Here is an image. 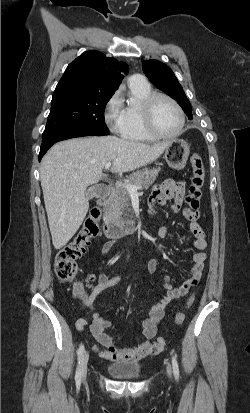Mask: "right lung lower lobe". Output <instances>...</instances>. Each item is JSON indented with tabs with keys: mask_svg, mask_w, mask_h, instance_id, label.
Masks as SVG:
<instances>
[{
	"mask_svg": "<svg viewBox=\"0 0 250 413\" xmlns=\"http://www.w3.org/2000/svg\"><path fill=\"white\" fill-rule=\"evenodd\" d=\"M108 134L109 132L106 133V132L88 130V129H76V130H70V131L63 132L50 140L42 142L40 153H39V161L44 156V154L47 152V150L56 142L70 139V138H75V137L102 136V135H108Z\"/></svg>",
	"mask_w": 250,
	"mask_h": 413,
	"instance_id": "1",
	"label": "right lung lower lobe"
}]
</instances>
